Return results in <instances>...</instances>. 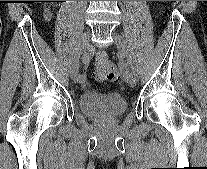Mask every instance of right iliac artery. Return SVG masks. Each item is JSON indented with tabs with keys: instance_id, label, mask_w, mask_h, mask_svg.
Returning <instances> with one entry per match:
<instances>
[{
	"instance_id": "right-iliac-artery-1",
	"label": "right iliac artery",
	"mask_w": 207,
	"mask_h": 169,
	"mask_svg": "<svg viewBox=\"0 0 207 169\" xmlns=\"http://www.w3.org/2000/svg\"><path fill=\"white\" fill-rule=\"evenodd\" d=\"M89 55L87 53H85L83 56H82V62L85 64V65H88L89 64ZM85 80V75L84 74H79L78 75V81L79 82H83Z\"/></svg>"
}]
</instances>
